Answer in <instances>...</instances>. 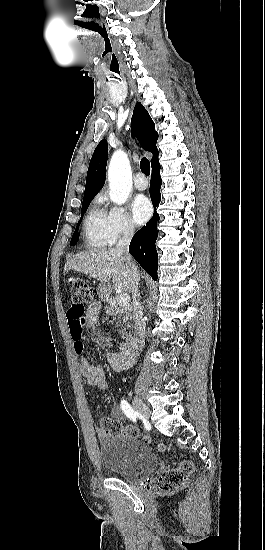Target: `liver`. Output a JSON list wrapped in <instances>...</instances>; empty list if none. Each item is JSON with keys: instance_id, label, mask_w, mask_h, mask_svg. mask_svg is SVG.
Wrapping results in <instances>:
<instances>
[{"instance_id": "6515ba94", "label": "liver", "mask_w": 265, "mask_h": 550, "mask_svg": "<svg viewBox=\"0 0 265 550\" xmlns=\"http://www.w3.org/2000/svg\"><path fill=\"white\" fill-rule=\"evenodd\" d=\"M69 270L82 272L100 281L101 291H108L112 278L116 290L131 292L129 265L114 248L79 253L67 260L64 273Z\"/></svg>"}]
</instances>
